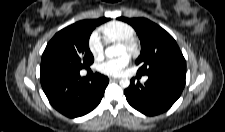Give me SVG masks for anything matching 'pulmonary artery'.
<instances>
[{"label": "pulmonary artery", "mask_w": 225, "mask_h": 132, "mask_svg": "<svg viewBox=\"0 0 225 132\" xmlns=\"http://www.w3.org/2000/svg\"><path fill=\"white\" fill-rule=\"evenodd\" d=\"M143 80H144V81H146V80H147V78L145 77Z\"/></svg>", "instance_id": "1"}]
</instances>
